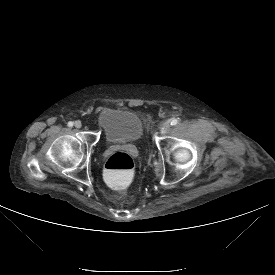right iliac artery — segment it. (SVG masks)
I'll use <instances>...</instances> for the list:
<instances>
[{"label": "right iliac artery", "instance_id": "1", "mask_svg": "<svg viewBox=\"0 0 275 275\" xmlns=\"http://www.w3.org/2000/svg\"><path fill=\"white\" fill-rule=\"evenodd\" d=\"M68 126H69V127H72V126H73V122H71V121L68 122Z\"/></svg>", "mask_w": 275, "mask_h": 275}]
</instances>
